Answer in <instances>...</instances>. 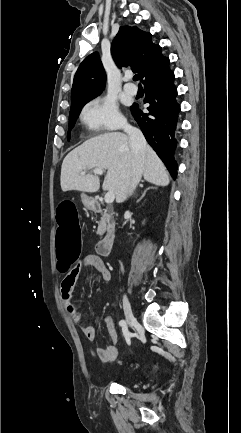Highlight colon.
<instances>
[{"mask_svg":"<svg viewBox=\"0 0 241 433\" xmlns=\"http://www.w3.org/2000/svg\"><path fill=\"white\" fill-rule=\"evenodd\" d=\"M53 220L58 224L55 231L56 269L60 272H69L78 261V252L82 247L79 205H72L71 201L65 198L62 204L58 205V212L53 213Z\"/></svg>","mask_w":241,"mask_h":433,"instance_id":"1","label":"colon"}]
</instances>
